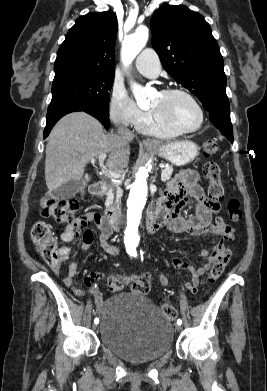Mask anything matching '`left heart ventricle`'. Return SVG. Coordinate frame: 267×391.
<instances>
[{"label": "left heart ventricle", "mask_w": 267, "mask_h": 391, "mask_svg": "<svg viewBox=\"0 0 267 391\" xmlns=\"http://www.w3.org/2000/svg\"><path fill=\"white\" fill-rule=\"evenodd\" d=\"M166 119L175 125L191 129L199 123V112L195 105L183 95H171L163 97L159 94L152 104Z\"/></svg>", "instance_id": "left-heart-ventricle-1"}]
</instances>
